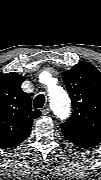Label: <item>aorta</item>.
<instances>
[{
  "instance_id": "obj_1",
  "label": "aorta",
  "mask_w": 101,
  "mask_h": 180,
  "mask_svg": "<svg viewBox=\"0 0 101 180\" xmlns=\"http://www.w3.org/2000/svg\"><path fill=\"white\" fill-rule=\"evenodd\" d=\"M49 97L52 110L60 119L70 115V100L64 89L57 85L49 87Z\"/></svg>"
}]
</instances>
